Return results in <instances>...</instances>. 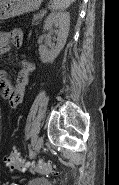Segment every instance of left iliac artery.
<instances>
[{"label": "left iliac artery", "mask_w": 119, "mask_h": 185, "mask_svg": "<svg viewBox=\"0 0 119 185\" xmlns=\"http://www.w3.org/2000/svg\"><path fill=\"white\" fill-rule=\"evenodd\" d=\"M35 142H36V136H34L33 139H32V145H34Z\"/></svg>", "instance_id": "44dca946"}]
</instances>
